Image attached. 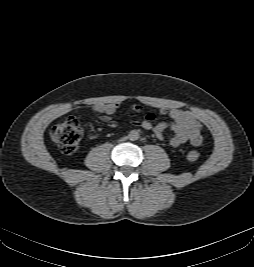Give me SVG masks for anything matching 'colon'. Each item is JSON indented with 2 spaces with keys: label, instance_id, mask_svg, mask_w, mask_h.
<instances>
[{
  "label": "colon",
  "instance_id": "5ec220e1",
  "mask_svg": "<svg viewBox=\"0 0 254 267\" xmlns=\"http://www.w3.org/2000/svg\"><path fill=\"white\" fill-rule=\"evenodd\" d=\"M51 138L65 154H71L76 151L83 135L82 127L79 121L73 117L54 125L51 129ZM200 154L196 150H191L187 154L189 161L195 162Z\"/></svg>",
  "mask_w": 254,
  "mask_h": 267
}]
</instances>
